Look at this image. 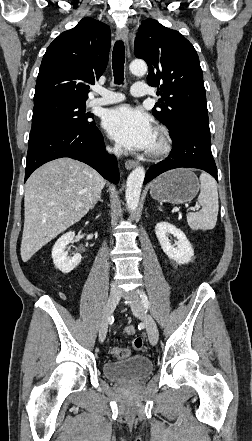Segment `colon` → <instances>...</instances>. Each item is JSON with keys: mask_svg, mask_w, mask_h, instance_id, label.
I'll return each mask as SVG.
<instances>
[{"mask_svg": "<svg viewBox=\"0 0 252 441\" xmlns=\"http://www.w3.org/2000/svg\"><path fill=\"white\" fill-rule=\"evenodd\" d=\"M132 348L135 351H140L143 348V340L141 337H137L132 341ZM111 353L115 358L122 359L129 356L130 350L127 348L115 347L112 349Z\"/></svg>", "mask_w": 252, "mask_h": 441, "instance_id": "5ec220e1", "label": "colon"}]
</instances>
